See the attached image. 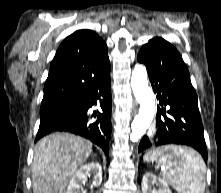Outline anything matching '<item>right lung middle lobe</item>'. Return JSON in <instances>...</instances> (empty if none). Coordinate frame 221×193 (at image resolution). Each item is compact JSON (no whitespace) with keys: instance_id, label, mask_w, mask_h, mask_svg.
<instances>
[{"instance_id":"1","label":"right lung middle lobe","mask_w":221,"mask_h":193,"mask_svg":"<svg viewBox=\"0 0 221 193\" xmlns=\"http://www.w3.org/2000/svg\"><path fill=\"white\" fill-rule=\"evenodd\" d=\"M77 99H58L42 102L40 109V126L59 121L76 110Z\"/></svg>"}]
</instances>
